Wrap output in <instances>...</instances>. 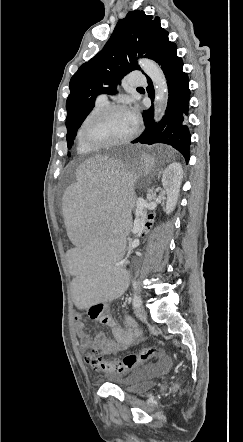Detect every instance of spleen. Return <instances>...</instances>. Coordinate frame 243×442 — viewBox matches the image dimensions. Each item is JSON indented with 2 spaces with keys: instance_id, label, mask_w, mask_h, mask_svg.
I'll list each match as a JSON object with an SVG mask.
<instances>
[{
  "instance_id": "spleen-1",
  "label": "spleen",
  "mask_w": 243,
  "mask_h": 442,
  "mask_svg": "<svg viewBox=\"0 0 243 442\" xmlns=\"http://www.w3.org/2000/svg\"><path fill=\"white\" fill-rule=\"evenodd\" d=\"M80 163L76 183L62 193L67 231L78 254L69 259L75 282L70 289L75 307H99L108 296L131 291L129 273L122 265L123 240L129 237L133 192L144 178H159L163 168L159 153H119ZM114 192V193H93Z\"/></svg>"
}]
</instances>
